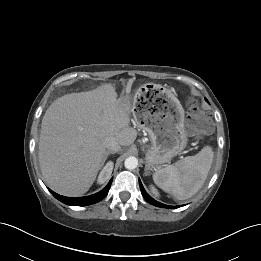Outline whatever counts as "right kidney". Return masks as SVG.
<instances>
[{
  "mask_svg": "<svg viewBox=\"0 0 261 261\" xmlns=\"http://www.w3.org/2000/svg\"><path fill=\"white\" fill-rule=\"evenodd\" d=\"M113 170V162H108L98 176V183L103 184L111 176Z\"/></svg>",
  "mask_w": 261,
  "mask_h": 261,
  "instance_id": "1",
  "label": "right kidney"
}]
</instances>
